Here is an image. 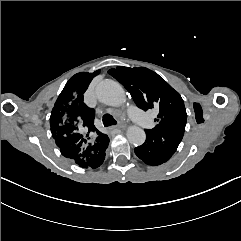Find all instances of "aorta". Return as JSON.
I'll list each match as a JSON object with an SVG mask.
<instances>
[{
  "label": "aorta",
  "mask_w": 241,
  "mask_h": 241,
  "mask_svg": "<svg viewBox=\"0 0 241 241\" xmlns=\"http://www.w3.org/2000/svg\"><path fill=\"white\" fill-rule=\"evenodd\" d=\"M95 92L97 98L106 105L119 106L126 101L123 87L114 80L101 81L96 86ZM126 135L129 142L135 146L142 145L146 139L144 130L138 126H130Z\"/></svg>",
  "instance_id": "obj_1"
}]
</instances>
